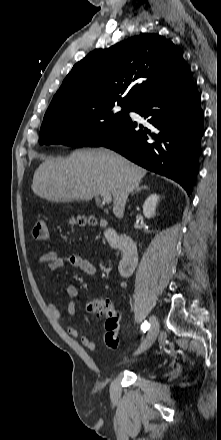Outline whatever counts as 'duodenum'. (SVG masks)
I'll list each match as a JSON object with an SVG mask.
<instances>
[{
	"label": "duodenum",
	"mask_w": 221,
	"mask_h": 440,
	"mask_svg": "<svg viewBox=\"0 0 221 440\" xmlns=\"http://www.w3.org/2000/svg\"><path fill=\"white\" fill-rule=\"evenodd\" d=\"M105 237L121 251L118 266L120 275L123 277L130 275L138 260V251L134 240L131 236L118 233L113 228L105 230Z\"/></svg>",
	"instance_id": "duodenum-1"
}]
</instances>
